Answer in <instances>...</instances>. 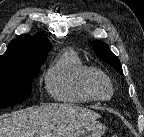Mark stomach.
<instances>
[{"label": "stomach", "instance_id": "stomach-1", "mask_svg": "<svg viewBox=\"0 0 144 137\" xmlns=\"http://www.w3.org/2000/svg\"><path fill=\"white\" fill-rule=\"evenodd\" d=\"M106 127L100 122L89 123L74 131L69 137H102Z\"/></svg>", "mask_w": 144, "mask_h": 137}]
</instances>
